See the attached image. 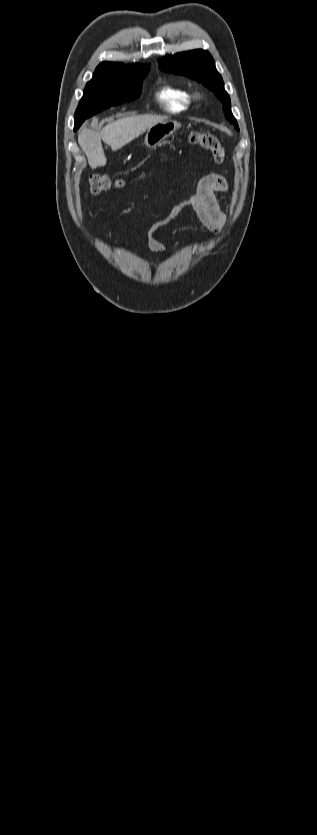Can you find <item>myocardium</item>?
Here are the masks:
<instances>
[{"label": "myocardium", "mask_w": 317, "mask_h": 835, "mask_svg": "<svg viewBox=\"0 0 317 835\" xmlns=\"http://www.w3.org/2000/svg\"><path fill=\"white\" fill-rule=\"evenodd\" d=\"M201 97H202L201 93H199V92L194 93V98L200 99Z\"/></svg>", "instance_id": "myocardium-1"}]
</instances>
